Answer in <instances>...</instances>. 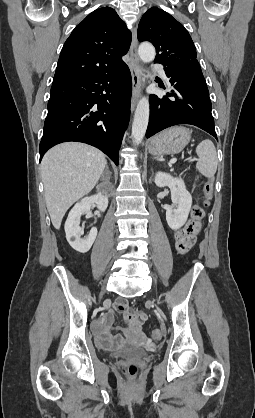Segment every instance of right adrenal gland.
Masks as SVG:
<instances>
[{"mask_svg":"<svg viewBox=\"0 0 255 418\" xmlns=\"http://www.w3.org/2000/svg\"><path fill=\"white\" fill-rule=\"evenodd\" d=\"M107 174V180L110 179L112 173L109 171V167L106 165V169L104 171V173L102 174V177L104 178V175Z\"/></svg>","mask_w":255,"mask_h":418,"instance_id":"1","label":"right adrenal gland"}]
</instances>
